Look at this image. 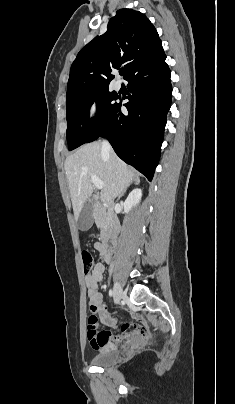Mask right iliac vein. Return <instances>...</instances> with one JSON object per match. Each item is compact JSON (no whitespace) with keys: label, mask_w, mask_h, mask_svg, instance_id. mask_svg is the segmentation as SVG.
I'll use <instances>...</instances> for the list:
<instances>
[{"label":"right iliac vein","mask_w":235,"mask_h":404,"mask_svg":"<svg viewBox=\"0 0 235 404\" xmlns=\"http://www.w3.org/2000/svg\"><path fill=\"white\" fill-rule=\"evenodd\" d=\"M123 296H124V293H123L122 287L120 286V284L118 282H116L114 284V290H113L114 302L116 304H118L121 301V299L123 298Z\"/></svg>","instance_id":"63e3f726"}]
</instances>
